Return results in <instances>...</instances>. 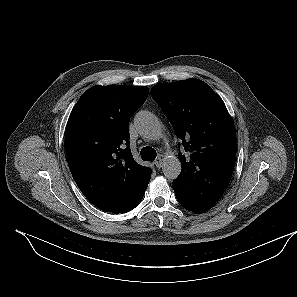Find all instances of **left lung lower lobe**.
<instances>
[{
	"label": "left lung lower lobe",
	"mask_w": 297,
	"mask_h": 297,
	"mask_svg": "<svg viewBox=\"0 0 297 297\" xmlns=\"http://www.w3.org/2000/svg\"><path fill=\"white\" fill-rule=\"evenodd\" d=\"M172 187H173V189H174V191H175V195H176V198H177V200H179L180 198H179V184L177 183V181H174L173 183H172ZM210 208H207V209H192V210H190V211H193L194 213H202V212H205V211H207V210H209Z\"/></svg>",
	"instance_id": "left-lung-lower-lobe-1"
}]
</instances>
